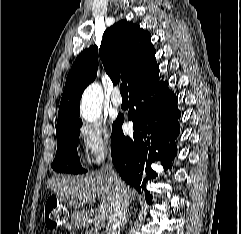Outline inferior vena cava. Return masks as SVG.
Here are the masks:
<instances>
[{"instance_id": "1", "label": "inferior vena cava", "mask_w": 241, "mask_h": 234, "mask_svg": "<svg viewBox=\"0 0 241 234\" xmlns=\"http://www.w3.org/2000/svg\"><path fill=\"white\" fill-rule=\"evenodd\" d=\"M108 172L115 185V199L113 209L108 218L106 234H120V229L125 219L129 203L126 197V188L124 183L113 170L111 163L109 165Z\"/></svg>"}]
</instances>
